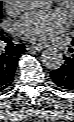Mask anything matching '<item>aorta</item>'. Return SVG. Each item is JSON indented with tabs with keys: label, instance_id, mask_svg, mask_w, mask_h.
Instances as JSON below:
<instances>
[{
	"label": "aorta",
	"instance_id": "aorta-1",
	"mask_svg": "<svg viewBox=\"0 0 74 122\" xmlns=\"http://www.w3.org/2000/svg\"><path fill=\"white\" fill-rule=\"evenodd\" d=\"M51 1H22L26 9H43L50 5ZM42 63L49 69H58L64 62L63 54L55 48L46 49L42 54Z\"/></svg>",
	"mask_w": 74,
	"mask_h": 122
}]
</instances>
